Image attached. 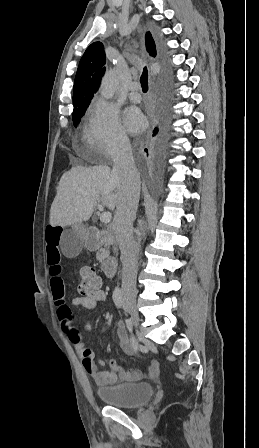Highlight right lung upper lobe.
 Segmentation results:
<instances>
[{"mask_svg":"<svg viewBox=\"0 0 259 448\" xmlns=\"http://www.w3.org/2000/svg\"><path fill=\"white\" fill-rule=\"evenodd\" d=\"M146 49L150 56H156V45L150 32L145 35ZM105 51L101 42L92 43L84 52L74 81V110L87 108L97 92L105 73Z\"/></svg>","mask_w":259,"mask_h":448,"instance_id":"1","label":"right lung upper lobe"}]
</instances>
